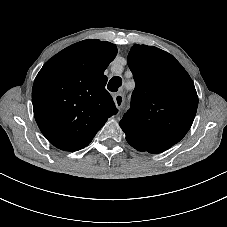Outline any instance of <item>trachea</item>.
<instances>
[{
    "instance_id": "trachea-1",
    "label": "trachea",
    "mask_w": 227,
    "mask_h": 227,
    "mask_svg": "<svg viewBox=\"0 0 227 227\" xmlns=\"http://www.w3.org/2000/svg\"><path fill=\"white\" fill-rule=\"evenodd\" d=\"M122 85V78L119 76H115L113 77L108 85L107 88L111 91V92H117L118 88Z\"/></svg>"
}]
</instances>
